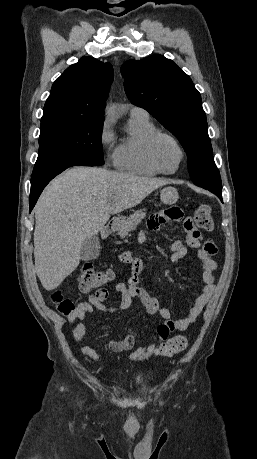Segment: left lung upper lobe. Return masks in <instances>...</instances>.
<instances>
[{
	"label": "left lung upper lobe",
	"mask_w": 257,
	"mask_h": 459,
	"mask_svg": "<svg viewBox=\"0 0 257 459\" xmlns=\"http://www.w3.org/2000/svg\"><path fill=\"white\" fill-rule=\"evenodd\" d=\"M121 74L131 102L147 110L180 141L193 183L222 193L201 95L190 77L161 55L126 61Z\"/></svg>",
	"instance_id": "left-lung-upper-lobe-1"
}]
</instances>
